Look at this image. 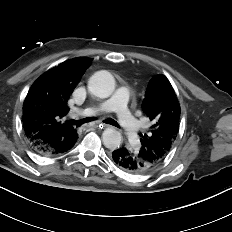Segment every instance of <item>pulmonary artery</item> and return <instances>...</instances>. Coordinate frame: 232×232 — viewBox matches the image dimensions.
<instances>
[{
  "label": "pulmonary artery",
  "mask_w": 232,
  "mask_h": 232,
  "mask_svg": "<svg viewBox=\"0 0 232 232\" xmlns=\"http://www.w3.org/2000/svg\"><path fill=\"white\" fill-rule=\"evenodd\" d=\"M130 98V91L127 87H119L115 95L100 104L98 107H91L83 110L82 114L92 115L97 113H107L110 111H116L118 122L122 126L125 131V134L133 145L135 149L139 148V137H138V129L139 123L133 117L131 111L129 110L127 103Z\"/></svg>",
  "instance_id": "obj_1"
}]
</instances>
